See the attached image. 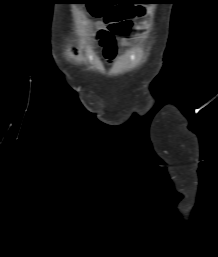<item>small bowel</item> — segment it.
<instances>
[{"instance_id":"obj_1","label":"small bowel","mask_w":218,"mask_h":257,"mask_svg":"<svg viewBox=\"0 0 218 257\" xmlns=\"http://www.w3.org/2000/svg\"><path fill=\"white\" fill-rule=\"evenodd\" d=\"M95 29H96V37L99 40L100 46L104 53L103 60H107L108 64H116L117 52H114V48L116 51L117 34L113 32L108 25L107 27H104L100 22H97L95 24ZM121 43L126 44L127 40L122 39Z\"/></svg>"}]
</instances>
